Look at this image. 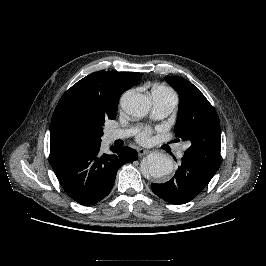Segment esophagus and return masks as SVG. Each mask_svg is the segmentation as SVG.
Wrapping results in <instances>:
<instances>
[{"instance_id":"obj_1","label":"esophagus","mask_w":266,"mask_h":266,"mask_svg":"<svg viewBox=\"0 0 266 266\" xmlns=\"http://www.w3.org/2000/svg\"><path fill=\"white\" fill-rule=\"evenodd\" d=\"M137 151H138V155L139 156H144V155L149 153V150H146V149H143V148H139Z\"/></svg>"}]
</instances>
